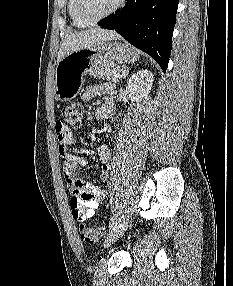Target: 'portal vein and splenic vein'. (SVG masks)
<instances>
[{"mask_svg":"<svg viewBox=\"0 0 233 286\" xmlns=\"http://www.w3.org/2000/svg\"><path fill=\"white\" fill-rule=\"evenodd\" d=\"M114 75H115V77H118V78L121 77V75L119 73H115Z\"/></svg>","mask_w":233,"mask_h":286,"instance_id":"portal-vein-and-splenic-vein-1","label":"portal vein and splenic vein"}]
</instances>
